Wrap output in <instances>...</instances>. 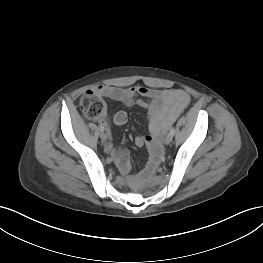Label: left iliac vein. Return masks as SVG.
I'll use <instances>...</instances> for the list:
<instances>
[{"instance_id": "1", "label": "left iliac vein", "mask_w": 263, "mask_h": 263, "mask_svg": "<svg viewBox=\"0 0 263 263\" xmlns=\"http://www.w3.org/2000/svg\"><path fill=\"white\" fill-rule=\"evenodd\" d=\"M172 139H173V135H171L170 133L167 134V136L165 137V144H170L172 142Z\"/></svg>"}]
</instances>
